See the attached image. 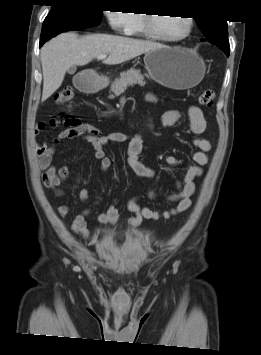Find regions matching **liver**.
<instances>
[{"label":"liver","mask_w":261,"mask_h":355,"mask_svg":"<svg viewBox=\"0 0 261 355\" xmlns=\"http://www.w3.org/2000/svg\"><path fill=\"white\" fill-rule=\"evenodd\" d=\"M164 47L160 43L130 37L92 34L79 37L74 32L58 35L42 48V101L47 100L62 84L66 71L75 65L84 66L102 54H109L103 63L116 65L143 53Z\"/></svg>","instance_id":"1"}]
</instances>
